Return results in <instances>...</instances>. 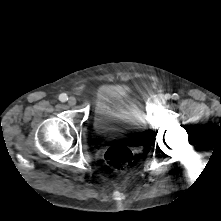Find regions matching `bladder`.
Returning <instances> with one entry per match:
<instances>
[{
	"label": "bladder",
	"instance_id": "31cf9c89",
	"mask_svg": "<svg viewBox=\"0 0 221 221\" xmlns=\"http://www.w3.org/2000/svg\"><path fill=\"white\" fill-rule=\"evenodd\" d=\"M93 125L103 136L136 135L146 129V121L136 101L118 88H108L100 94L95 104Z\"/></svg>",
	"mask_w": 221,
	"mask_h": 221
}]
</instances>
